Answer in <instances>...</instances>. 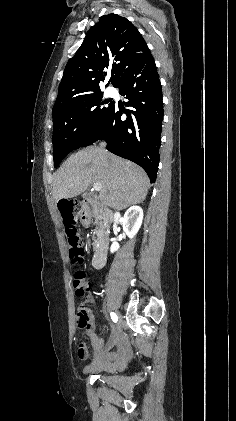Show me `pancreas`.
<instances>
[{
    "label": "pancreas",
    "instance_id": "1",
    "mask_svg": "<svg viewBox=\"0 0 236 421\" xmlns=\"http://www.w3.org/2000/svg\"><path fill=\"white\" fill-rule=\"evenodd\" d=\"M95 217H96V221H95L96 229H94L92 239L93 241H100L104 233H107V231H109V227H105L101 213H99V215H95Z\"/></svg>",
    "mask_w": 236,
    "mask_h": 421
}]
</instances>
